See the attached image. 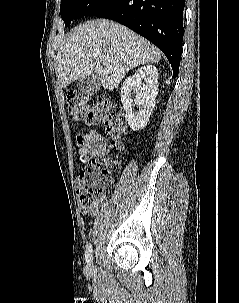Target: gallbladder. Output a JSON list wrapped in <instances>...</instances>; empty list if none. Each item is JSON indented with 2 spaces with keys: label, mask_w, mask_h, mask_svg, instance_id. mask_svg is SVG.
<instances>
[{
  "label": "gallbladder",
  "mask_w": 239,
  "mask_h": 303,
  "mask_svg": "<svg viewBox=\"0 0 239 303\" xmlns=\"http://www.w3.org/2000/svg\"><path fill=\"white\" fill-rule=\"evenodd\" d=\"M101 87V81L96 74L89 75L77 82V88L85 95H93Z\"/></svg>",
  "instance_id": "obj_1"
}]
</instances>
